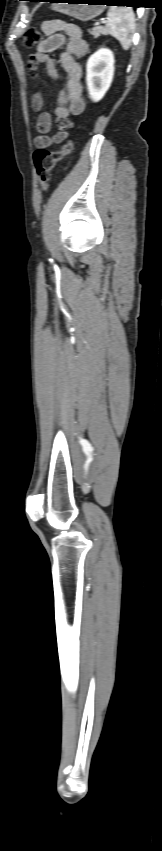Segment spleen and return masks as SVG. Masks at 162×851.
Wrapping results in <instances>:
<instances>
[{
    "mask_svg": "<svg viewBox=\"0 0 162 851\" xmlns=\"http://www.w3.org/2000/svg\"><path fill=\"white\" fill-rule=\"evenodd\" d=\"M107 15L106 32L115 37L124 50H128L135 28L133 10L127 7L113 6L109 8Z\"/></svg>",
    "mask_w": 162,
    "mask_h": 851,
    "instance_id": "3e777b00",
    "label": "spleen"
}]
</instances>
